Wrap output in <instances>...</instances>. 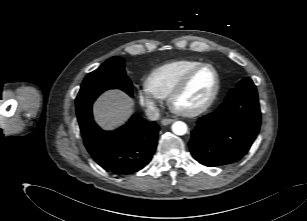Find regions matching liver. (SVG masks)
<instances>
[{
  "label": "liver",
  "instance_id": "1",
  "mask_svg": "<svg viewBox=\"0 0 307 221\" xmlns=\"http://www.w3.org/2000/svg\"><path fill=\"white\" fill-rule=\"evenodd\" d=\"M133 110V99L120 90L105 92L93 107L94 118L104 130H113L123 125Z\"/></svg>",
  "mask_w": 307,
  "mask_h": 221
}]
</instances>
